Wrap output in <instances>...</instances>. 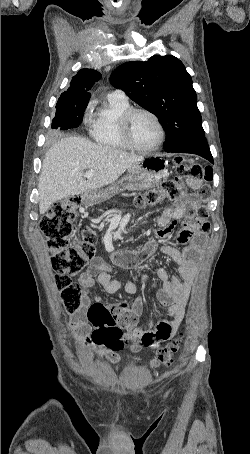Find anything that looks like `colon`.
<instances>
[{
	"label": "colon",
	"mask_w": 250,
	"mask_h": 454,
	"mask_svg": "<svg viewBox=\"0 0 250 454\" xmlns=\"http://www.w3.org/2000/svg\"><path fill=\"white\" fill-rule=\"evenodd\" d=\"M180 174L160 186L148 190L136 197L139 207L154 205L164 200H176L185 190L186 181L200 179L206 183L212 180V169L202 167L182 157L175 159ZM211 187L205 184L199 192L202 202L195 211L200 221V230L207 233L210 229L208 209L205 202L211 197ZM81 199L70 196L52 205L40 223L51 254V266L55 272V281L65 309L74 313L82 305L79 285L72 277L80 273L93 258L96 246V234L93 229L85 228L79 236L74 235L73 224L76 209ZM87 319L93 326L91 340L110 351L117 352L130 344L133 350L139 349V337L135 332V319L130 315L116 316L102 303H93L87 310ZM181 337V335H180ZM179 350L178 341L159 349L153 360L154 367H168Z\"/></svg>",
	"instance_id": "1"
}]
</instances>
